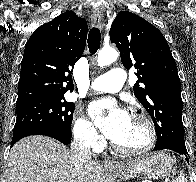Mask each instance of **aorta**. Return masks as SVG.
Masks as SVG:
<instances>
[{
    "label": "aorta",
    "mask_w": 196,
    "mask_h": 182,
    "mask_svg": "<svg viewBox=\"0 0 196 182\" xmlns=\"http://www.w3.org/2000/svg\"><path fill=\"white\" fill-rule=\"evenodd\" d=\"M118 58V52L113 48H103L99 51L97 63L100 67L110 65Z\"/></svg>",
    "instance_id": "762f6f07"
}]
</instances>
